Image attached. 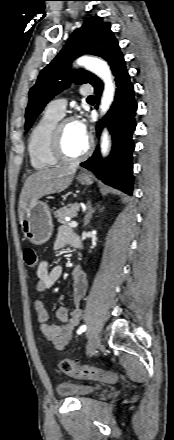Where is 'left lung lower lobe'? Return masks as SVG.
Here are the masks:
<instances>
[{
    "label": "left lung lower lobe",
    "mask_w": 174,
    "mask_h": 440,
    "mask_svg": "<svg viewBox=\"0 0 174 440\" xmlns=\"http://www.w3.org/2000/svg\"><path fill=\"white\" fill-rule=\"evenodd\" d=\"M109 64L116 80V96L110 110L99 123L97 133L100 134L103 126L109 128L113 139L112 151L108 158L102 160L97 148L92 157L81 163V166L92 171L104 183L132 195V152L134 150L132 134L136 127L137 103L123 54L119 52L109 61ZM93 86L96 96L100 98L103 90L102 81L99 79Z\"/></svg>",
    "instance_id": "left-lung-lower-lobe-1"
}]
</instances>
